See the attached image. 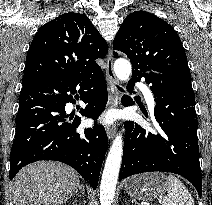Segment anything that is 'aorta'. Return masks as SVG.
Returning a JSON list of instances; mask_svg holds the SVG:
<instances>
[{
  "instance_id": "1",
  "label": "aorta",
  "mask_w": 212,
  "mask_h": 205,
  "mask_svg": "<svg viewBox=\"0 0 212 205\" xmlns=\"http://www.w3.org/2000/svg\"><path fill=\"white\" fill-rule=\"evenodd\" d=\"M114 72L119 80L127 81L132 72L130 62L126 59H117L114 63ZM122 154L123 139L119 134L114 139L105 162L100 184V205H111L113 202Z\"/></svg>"
}]
</instances>
